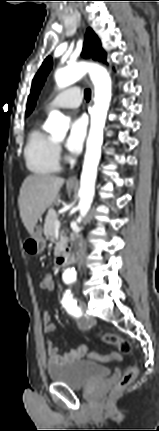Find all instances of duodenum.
I'll use <instances>...</instances> for the list:
<instances>
[{
    "instance_id": "1",
    "label": "duodenum",
    "mask_w": 159,
    "mask_h": 431,
    "mask_svg": "<svg viewBox=\"0 0 159 431\" xmlns=\"http://www.w3.org/2000/svg\"><path fill=\"white\" fill-rule=\"evenodd\" d=\"M82 251L81 243L79 239H71L65 248L59 253L55 259V265L57 267H62L70 263L75 259Z\"/></svg>"
}]
</instances>
